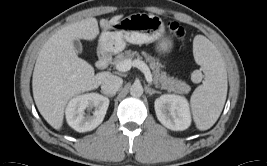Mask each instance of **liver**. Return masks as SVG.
I'll use <instances>...</instances> for the list:
<instances>
[{
	"instance_id": "obj_1",
	"label": "liver",
	"mask_w": 267,
	"mask_h": 166,
	"mask_svg": "<svg viewBox=\"0 0 267 166\" xmlns=\"http://www.w3.org/2000/svg\"><path fill=\"white\" fill-rule=\"evenodd\" d=\"M122 17L102 19L100 27L109 29ZM98 34L97 19H83L57 31L38 55L32 78L33 97L40 114L56 130L62 128L68 101L82 92L97 89L111 75L109 72L95 75L94 68L79 58L73 47V40L91 41Z\"/></svg>"
}]
</instances>
